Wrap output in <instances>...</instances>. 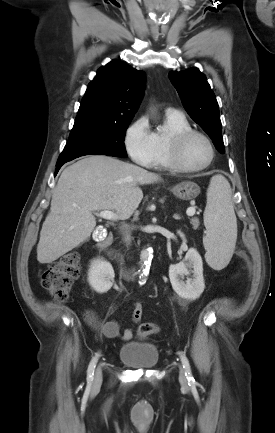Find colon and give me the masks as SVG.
<instances>
[{
  "label": "colon",
  "mask_w": 275,
  "mask_h": 433,
  "mask_svg": "<svg viewBox=\"0 0 275 433\" xmlns=\"http://www.w3.org/2000/svg\"><path fill=\"white\" fill-rule=\"evenodd\" d=\"M238 256L245 262V268L248 269L247 256L244 251H239ZM80 253L78 251H69L63 254L59 259L51 263L49 268L42 275V286L44 289L58 301L68 299L72 285L80 273ZM94 321V318L91 317ZM159 327L152 322L141 323L138 333L143 336L155 334Z\"/></svg>",
  "instance_id": "obj_1"
}]
</instances>
